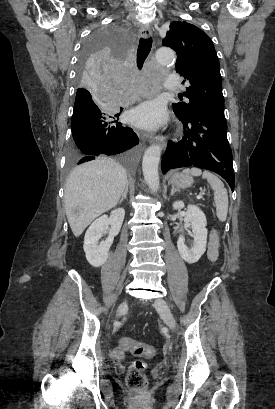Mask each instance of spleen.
I'll use <instances>...</instances> for the list:
<instances>
[{
    "label": "spleen",
    "mask_w": 275,
    "mask_h": 409,
    "mask_svg": "<svg viewBox=\"0 0 275 409\" xmlns=\"http://www.w3.org/2000/svg\"><path fill=\"white\" fill-rule=\"evenodd\" d=\"M183 172H190L193 176H200L202 174L203 178H207V182H209L211 188L214 190V200H215V207H216V215L219 221H226L227 213H228V192L226 188H224V184L216 174H212V172H208V170H200V168H185Z\"/></svg>",
    "instance_id": "spleen-1"
}]
</instances>
